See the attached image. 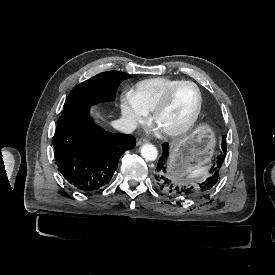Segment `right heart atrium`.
<instances>
[{
  "label": "right heart atrium",
  "mask_w": 275,
  "mask_h": 275,
  "mask_svg": "<svg viewBox=\"0 0 275 275\" xmlns=\"http://www.w3.org/2000/svg\"><path fill=\"white\" fill-rule=\"evenodd\" d=\"M121 112L126 124L130 128L145 123L148 112L135 100L133 92H126L121 99Z\"/></svg>",
  "instance_id": "right-heart-atrium-1"
}]
</instances>
